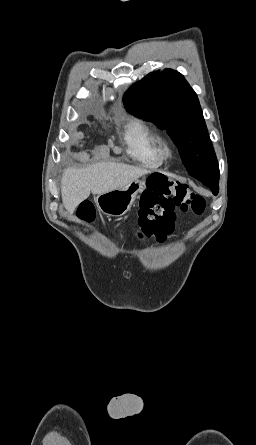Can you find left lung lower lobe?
Returning a JSON list of instances; mask_svg holds the SVG:
<instances>
[{"mask_svg": "<svg viewBox=\"0 0 256 445\" xmlns=\"http://www.w3.org/2000/svg\"><path fill=\"white\" fill-rule=\"evenodd\" d=\"M194 178L198 179L199 181H201L205 186L209 187L214 195L218 194L219 191V186H218V182H219V177L218 178H211L208 176H193Z\"/></svg>", "mask_w": 256, "mask_h": 445, "instance_id": "left-lung-lower-lobe-1", "label": "left lung lower lobe"}]
</instances>
